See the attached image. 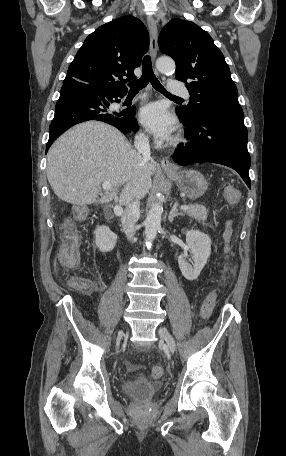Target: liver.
<instances>
[{
    "label": "liver",
    "instance_id": "obj_1",
    "mask_svg": "<svg viewBox=\"0 0 286 456\" xmlns=\"http://www.w3.org/2000/svg\"><path fill=\"white\" fill-rule=\"evenodd\" d=\"M155 162H144L116 128L89 121L66 131L54 142L47 156V179L62 201L75 205L108 203L119 196L127 205L144 198L151 187ZM112 183L113 190L100 199L101 183Z\"/></svg>",
    "mask_w": 286,
    "mask_h": 456
}]
</instances>
